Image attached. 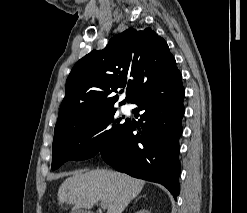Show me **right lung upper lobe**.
<instances>
[{
  "instance_id": "obj_1",
  "label": "right lung upper lobe",
  "mask_w": 247,
  "mask_h": 213,
  "mask_svg": "<svg viewBox=\"0 0 247 213\" xmlns=\"http://www.w3.org/2000/svg\"><path fill=\"white\" fill-rule=\"evenodd\" d=\"M175 66L166 41L150 28L127 29L114 36L105 49L90 52L74 65L54 136L114 108L119 97L110 96L112 92L127 85L125 100L130 102L142 88Z\"/></svg>"
}]
</instances>
